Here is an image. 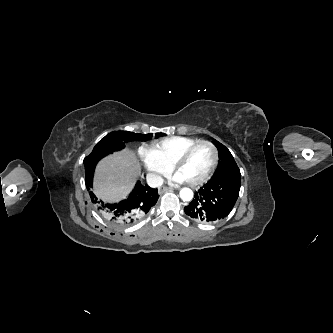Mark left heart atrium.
<instances>
[{
  "label": "left heart atrium",
  "instance_id": "39dd6f15",
  "mask_svg": "<svg viewBox=\"0 0 333 333\" xmlns=\"http://www.w3.org/2000/svg\"><path fill=\"white\" fill-rule=\"evenodd\" d=\"M173 180L178 183L185 182V179L182 176H180L179 174H175Z\"/></svg>",
  "mask_w": 333,
  "mask_h": 333
}]
</instances>
